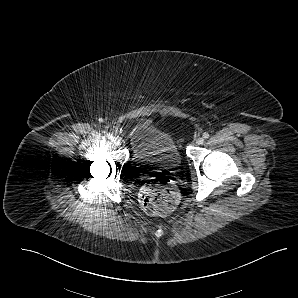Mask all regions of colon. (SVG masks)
<instances>
[{
    "label": "colon",
    "mask_w": 298,
    "mask_h": 298,
    "mask_svg": "<svg viewBox=\"0 0 298 298\" xmlns=\"http://www.w3.org/2000/svg\"><path fill=\"white\" fill-rule=\"evenodd\" d=\"M139 202L148 214L163 216L176 209L179 194L172 180L161 176L150 179L142 187Z\"/></svg>",
    "instance_id": "5ec220e1"
}]
</instances>
